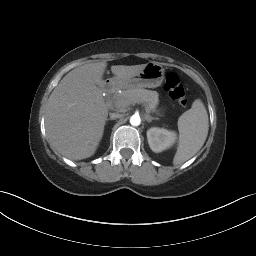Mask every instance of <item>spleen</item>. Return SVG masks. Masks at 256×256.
Wrapping results in <instances>:
<instances>
[{
	"instance_id": "3e777b00",
	"label": "spleen",
	"mask_w": 256,
	"mask_h": 256,
	"mask_svg": "<svg viewBox=\"0 0 256 256\" xmlns=\"http://www.w3.org/2000/svg\"><path fill=\"white\" fill-rule=\"evenodd\" d=\"M208 114L200 99L178 119L179 142L173 164H182L193 157L203 146L208 135Z\"/></svg>"
}]
</instances>
